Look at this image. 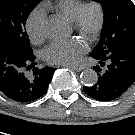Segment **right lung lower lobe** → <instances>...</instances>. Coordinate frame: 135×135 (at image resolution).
Returning a JSON list of instances; mask_svg holds the SVG:
<instances>
[{
  "instance_id": "98d812e1",
  "label": "right lung lower lobe",
  "mask_w": 135,
  "mask_h": 135,
  "mask_svg": "<svg viewBox=\"0 0 135 135\" xmlns=\"http://www.w3.org/2000/svg\"><path fill=\"white\" fill-rule=\"evenodd\" d=\"M35 65L33 52L24 53L12 42L0 39V91L8 98L27 103L47 92L56 69H39Z\"/></svg>"
}]
</instances>
